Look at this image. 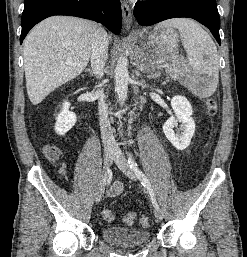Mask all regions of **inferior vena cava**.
<instances>
[{
    "label": "inferior vena cava",
    "instance_id": "obj_1",
    "mask_svg": "<svg viewBox=\"0 0 247 257\" xmlns=\"http://www.w3.org/2000/svg\"><path fill=\"white\" fill-rule=\"evenodd\" d=\"M108 44L109 40L106 31L103 28L98 27L93 35L91 45V67L94 74L99 78L104 74V67L108 54ZM96 95L99 99L98 115L102 142L105 148L116 147V141L108 119V107L104 101L105 96L103 90H97Z\"/></svg>",
    "mask_w": 247,
    "mask_h": 257
}]
</instances>
